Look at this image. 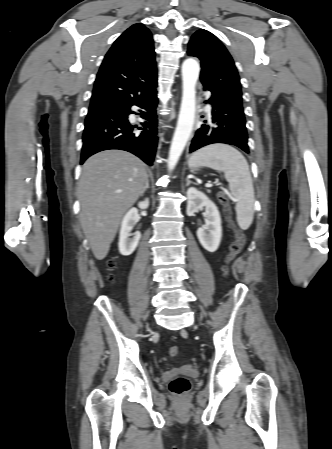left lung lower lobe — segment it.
I'll list each match as a JSON object with an SVG mask.
<instances>
[{
  "mask_svg": "<svg viewBox=\"0 0 332 449\" xmlns=\"http://www.w3.org/2000/svg\"><path fill=\"white\" fill-rule=\"evenodd\" d=\"M207 103L212 106L211 118L195 131L189 152L209 144L224 143L235 145L249 153L243 107L214 93Z\"/></svg>",
  "mask_w": 332,
  "mask_h": 449,
  "instance_id": "obj_1",
  "label": "left lung lower lobe"
}]
</instances>
